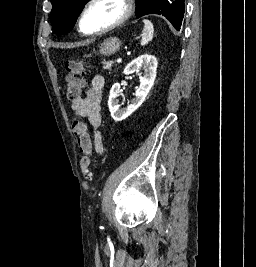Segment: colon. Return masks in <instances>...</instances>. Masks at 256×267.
I'll list each match as a JSON object with an SVG mask.
<instances>
[{
	"mask_svg": "<svg viewBox=\"0 0 256 267\" xmlns=\"http://www.w3.org/2000/svg\"><path fill=\"white\" fill-rule=\"evenodd\" d=\"M88 62L85 60L69 61L65 64L68 73L66 81L68 85L67 97L69 101L78 99L84 86V78L87 71ZM72 131L78 136V144L83 157L81 159L82 173L87 181L91 180V149L92 141L85 120L76 116L72 120Z\"/></svg>",
	"mask_w": 256,
	"mask_h": 267,
	"instance_id": "colon-1",
	"label": "colon"
}]
</instances>
